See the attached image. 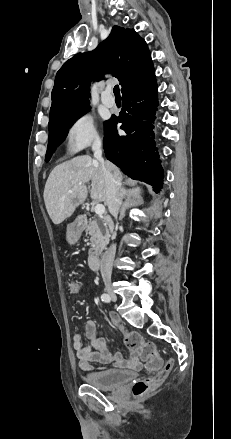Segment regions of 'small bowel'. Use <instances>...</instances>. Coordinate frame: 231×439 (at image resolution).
Masks as SVG:
<instances>
[{
	"instance_id": "obj_1",
	"label": "small bowel",
	"mask_w": 231,
	"mask_h": 439,
	"mask_svg": "<svg viewBox=\"0 0 231 439\" xmlns=\"http://www.w3.org/2000/svg\"><path fill=\"white\" fill-rule=\"evenodd\" d=\"M110 321L124 336L128 333L123 323L115 315L110 316ZM85 338L88 341L87 343H84L82 334L76 333L73 335V347L76 351L79 367L82 370H92L93 362L114 364L119 368L139 369L141 367L142 359L137 351L132 350L128 360H125L121 353H111L106 346L104 338L101 336V331L97 324L92 320L86 322Z\"/></svg>"
}]
</instances>
